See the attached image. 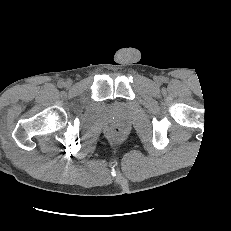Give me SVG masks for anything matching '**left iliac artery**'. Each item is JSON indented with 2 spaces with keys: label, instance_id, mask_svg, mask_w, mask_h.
Wrapping results in <instances>:
<instances>
[{
  "label": "left iliac artery",
  "instance_id": "left-iliac-artery-1",
  "mask_svg": "<svg viewBox=\"0 0 231 231\" xmlns=\"http://www.w3.org/2000/svg\"><path fill=\"white\" fill-rule=\"evenodd\" d=\"M164 81L166 82V81H167V79L165 78V79H164Z\"/></svg>",
  "mask_w": 231,
  "mask_h": 231
}]
</instances>
